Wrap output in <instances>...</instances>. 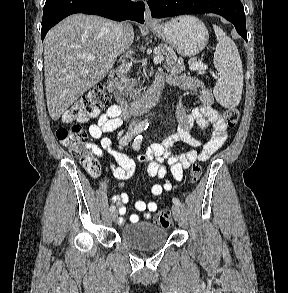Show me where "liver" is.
Wrapping results in <instances>:
<instances>
[{
	"label": "liver",
	"instance_id": "liver-1",
	"mask_svg": "<svg viewBox=\"0 0 288 293\" xmlns=\"http://www.w3.org/2000/svg\"><path fill=\"white\" fill-rule=\"evenodd\" d=\"M116 22L85 14L71 15L53 27L44 40V76L50 117L60 116L87 90L99 83L113 67L117 57L134 40L127 23L120 43ZM83 56H94L87 60Z\"/></svg>",
	"mask_w": 288,
	"mask_h": 293
}]
</instances>
